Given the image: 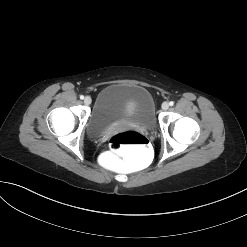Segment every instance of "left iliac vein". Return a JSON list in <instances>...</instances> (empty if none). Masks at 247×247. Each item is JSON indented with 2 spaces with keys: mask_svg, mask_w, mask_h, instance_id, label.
Returning a JSON list of instances; mask_svg holds the SVG:
<instances>
[{
  "mask_svg": "<svg viewBox=\"0 0 247 247\" xmlns=\"http://www.w3.org/2000/svg\"><path fill=\"white\" fill-rule=\"evenodd\" d=\"M169 108V104L167 102L162 103V109L167 110Z\"/></svg>",
  "mask_w": 247,
  "mask_h": 247,
  "instance_id": "left-iliac-vein-1",
  "label": "left iliac vein"
}]
</instances>
